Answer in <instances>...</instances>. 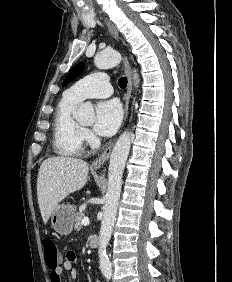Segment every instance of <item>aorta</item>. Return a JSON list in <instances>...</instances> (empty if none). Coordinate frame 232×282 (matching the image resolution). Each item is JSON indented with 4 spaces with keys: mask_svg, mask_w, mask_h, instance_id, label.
Here are the masks:
<instances>
[{
    "mask_svg": "<svg viewBox=\"0 0 232 282\" xmlns=\"http://www.w3.org/2000/svg\"><path fill=\"white\" fill-rule=\"evenodd\" d=\"M121 54L116 50H103L96 54L94 63L99 69H108L117 66L121 62ZM134 84L138 83V75L134 74ZM75 117L85 122L94 120V110L88 103L82 104ZM130 133L125 131L117 139L109 162L108 184L103 206V219L99 235V268L103 274H111L112 264L107 255L106 248L109 244L113 226L116 220L118 204L121 194L122 177L125 163L130 151Z\"/></svg>",
    "mask_w": 232,
    "mask_h": 282,
    "instance_id": "aorta-1",
    "label": "aorta"
}]
</instances>
